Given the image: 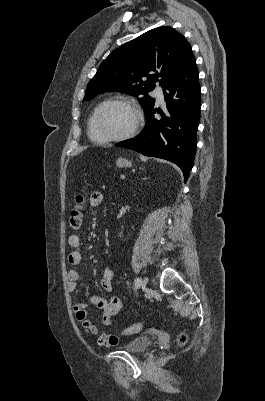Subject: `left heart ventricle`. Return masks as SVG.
I'll use <instances>...</instances> for the list:
<instances>
[{
    "mask_svg": "<svg viewBox=\"0 0 265 401\" xmlns=\"http://www.w3.org/2000/svg\"><path fill=\"white\" fill-rule=\"evenodd\" d=\"M135 114L132 108L124 104L108 107L100 115L95 134L99 138H111L124 134L134 124Z\"/></svg>",
    "mask_w": 265,
    "mask_h": 401,
    "instance_id": "obj_1",
    "label": "left heart ventricle"
}]
</instances>
